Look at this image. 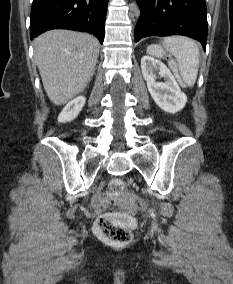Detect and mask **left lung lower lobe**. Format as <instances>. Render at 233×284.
Returning a JSON list of instances; mask_svg holds the SVG:
<instances>
[{
    "mask_svg": "<svg viewBox=\"0 0 233 284\" xmlns=\"http://www.w3.org/2000/svg\"><path fill=\"white\" fill-rule=\"evenodd\" d=\"M141 11L135 41L147 36L185 35L206 47L205 0H136Z\"/></svg>",
    "mask_w": 233,
    "mask_h": 284,
    "instance_id": "1",
    "label": "left lung lower lobe"
}]
</instances>
